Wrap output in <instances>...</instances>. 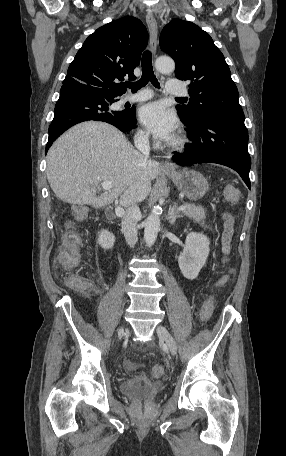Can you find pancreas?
<instances>
[{"instance_id": "cf45deb5", "label": "pancreas", "mask_w": 286, "mask_h": 456, "mask_svg": "<svg viewBox=\"0 0 286 456\" xmlns=\"http://www.w3.org/2000/svg\"><path fill=\"white\" fill-rule=\"evenodd\" d=\"M183 205L186 206V209L183 210V214L193 219L195 222H200L206 218V211L202 206H195L190 203H184Z\"/></svg>"}]
</instances>
